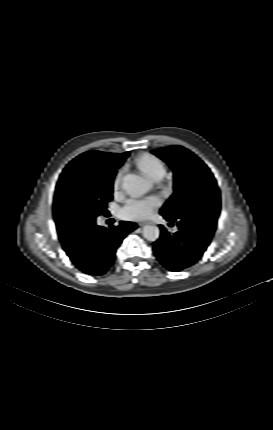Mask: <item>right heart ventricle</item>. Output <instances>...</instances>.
Instances as JSON below:
<instances>
[{
    "instance_id": "right-heart-ventricle-1",
    "label": "right heart ventricle",
    "mask_w": 273,
    "mask_h": 430,
    "mask_svg": "<svg viewBox=\"0 0 273 430\" xmlns=\"http://www.w3.org/2000/svg\"><path fill=\"white\" fill-rule=\"evenodd\" d=\"M135 165L152 180L161 179L166 172L163 161L157 156L148 153L138 156L135 159Z\"/></svg>"
}]
</instances>
